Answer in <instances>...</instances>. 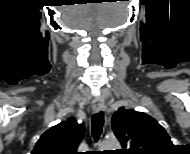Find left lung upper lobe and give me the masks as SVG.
I'll use <instances>...</instances> for the list:
<instances>
[{"label":"left lung upper lobe","instance_id":"5c2ea615","mask_svg":"<svg viewBox=\"0 0 190 154\" xmlns=\"http://www.w3.org/2000/svg\"><path fill=\"white\" fill-rule=\"evenodd\" d=\"M112 129L122 154H162L172 147L165 129L151 116L121 107L112 117Z\"/></svg>","mask_w":190,"mask_h":154}]
</instances>
